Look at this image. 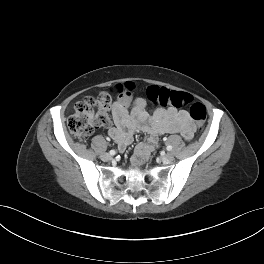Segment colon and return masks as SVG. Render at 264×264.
<instances>
[{"mask_svg":"<svg viewBox=\"0 0 264 264\" xmlns=\"http://www.w3.org/2000/svg\"><path fill=\"white\" fill-rule=\"evenodd\" d=\"M111 93L121 101L128 100L132 94L130 83L118 84ZM148 99L162 107L184 108L191 104L192 97L188 93L173 91L156 85L146 90ZM112 97L107 92H100L95 97L87 96L79 101L73 115L68 120L70 133L79 140H87L94 130L109 121V109ZM207 111L202 103L195 102L190 106V117L199 129H203Z\"/></svg>","mask_w":264,"mask_h":264,"instance_id":"1","label":"colon"}]
</instances>
